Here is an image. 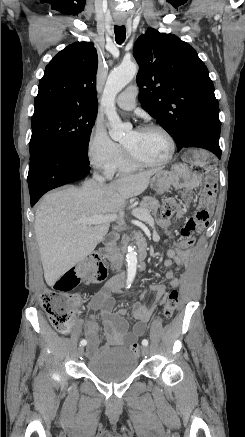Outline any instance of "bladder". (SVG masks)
I'll use <instances>...</instances> for the list:
<instances>
[{
	"instance_id": "31cf9c89",
	"label": "bladder",
	"mask_w": 245,
	"mask_h": 437,
	"mask_svg": "<svg viewBox=\"0 0 245 437\" xmlns=\"http://www.w3.org/2000/svg\"><path fill=\"white\" fill-rule=\"evenodd\" d=\"M87 369L96 377L106 382H118L128 378L138 366L137 355L127 348L101 350L90 359Z\"/></svg>"
}]
</instances>
